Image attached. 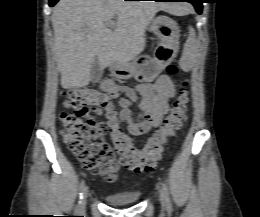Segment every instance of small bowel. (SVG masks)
Returning a JSON list of instances; mask_svg holds the SVG:
<instances>
[{"mask_svg": "<svg viewBox=\"0 0 260 217\" xmlns=\"http://www.w3.org/2000/svg\"><path fill=\"white\" fill-rule=\"evenodd\" d=\"M100 88L119 99V119L132 135L148 134L157 128L175 96V85L168 75H161L154 83H142L135 87L105 80ZM136 101L139 102L138 112L133 110ZM100 113L99 109L95 111V114Z\"/></svg>", "mask_w": 260, "mask_h": 217, "instance_id": "obj_1", "label": "small bowel"}]
</instances>
